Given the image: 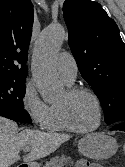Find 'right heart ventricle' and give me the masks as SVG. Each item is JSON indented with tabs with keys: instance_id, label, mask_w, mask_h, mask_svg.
<instances>
[{
	"instance_id": "1",
	"label": "right heart ventricle",
	"mask_w": 125,
	"mask_h": 167,
	"mask_svg": "<svg viewBox=\"0 0 125 167\" xmlns=\"http://www.w3.org/2000/svg\"><path fill=\"white\" fill-rule=\"evenodd\" d=\"M45 128L49 131L55 132H63L68 130L61 119L57 105H52L51 117Z\"/></svg>"
}]
</instances>
